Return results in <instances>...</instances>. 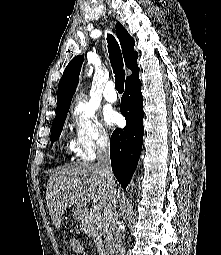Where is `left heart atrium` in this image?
I'll return each mask as SVG.
<instances>
[{
    "mask_svg": "<svg viewBox=\"0 0 221 255\" xmlns=\"http://www.w3.org/2000/svg\"><path fill=\"white\" fill-rule=\"evenodd\" d=\"M103 118H104L105 123L108 126H113L116 123H118L119 120H120L119 114L114 109H112L110 107H105L104 108Z\"/></svg>",
    "mask_w": 221,
    "mask_h": 255,
    "instance_id": "left-heart-atrium-1",
    "label": "left heart atrium"
}]
</instances>
